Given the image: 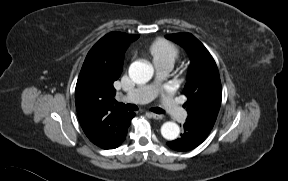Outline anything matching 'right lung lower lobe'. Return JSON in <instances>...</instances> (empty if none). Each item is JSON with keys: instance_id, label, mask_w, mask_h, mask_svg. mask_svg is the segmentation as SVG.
<instances>
[{"instance_id": "right-lung-lower-lobe-1", "label": "right lung lower lobe", "mask_w": 288, "mask_h": 181, "mask_svg": "<svg viewBox=\"0 0 288 181\" xmlns=\"http://www.w3.org/2000/svg\"><path fill=\"white\" fill-rule=\"evenodd\" d=\"M134 116H135V114L131 112V119H132ZM129 125H130V124H129ZM126 134H127V130H126L125 134L122 136V140H121L120 144L124 141Z\"/></svg>"}]
</instances>
